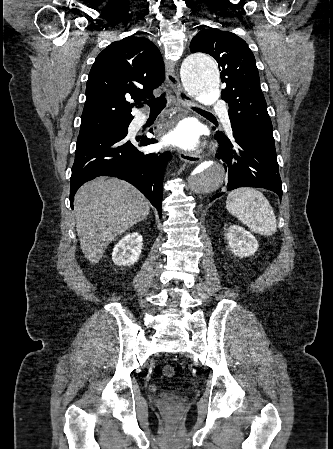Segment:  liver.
<instances>
[{
	"instance_id": "1",
	"label": "liver",
	"mask_w": 333,
	"mask_h": 449,
	"mask_svg": "<svg viewBox=\"0 0 333 449\" xmlns=\"http://www.w3.org/2000/svg\"><path fill=\"white\" fill-rule=\"evenodd\" d=\"M149 202L130 183L117 178H97L75 194L74 214L82 252L98 263L116 236L146 219Z\"/></svg>"
}]
</instances>
